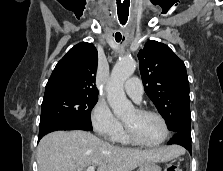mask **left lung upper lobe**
<instances>
[{"label": "left lung upper lobe", "instance_id": "5c2ea615", "mask_svg": "<svg viewBox=\"0 0 223 171\" xmlns=\"http://www.w3.org/2000/svg\"><path fill=\"white\" fill-rule=\"evenodd\" d=\"M145 92L169 130L191 136L189 82L184 62L166 45L149 40L138 53Z\"/></svg>", "mask_w": 223, "mask_h": 171}]
</instances>
